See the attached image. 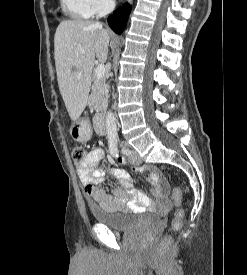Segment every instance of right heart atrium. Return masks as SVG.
<instances>
[{
	"mask_svg": "<svg viewBox=\"0 0 247 275\" xmlns=\"http://www.w3.org/2000/svg\"><path fill=\"white\" fill-rule=\"evenodd\" d=\"M94 12L97 14H101L109 10L112 5V0H92Z\"/></svg>",
	"mask_w": 247,
	"mask_h": 275,
	"instance_id": "d8ad5b80",
	"label": "right heart atrium"
}]
</instances>
